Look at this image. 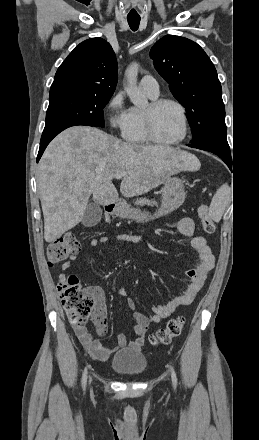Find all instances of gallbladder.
<instances>
[{
	"label": "gallbladder",
	"mask_w": 259,
	"mask_h": 440,
	"mask_svg": "<svg viewBox=\"0 0 259 440\" xmlns=\"http://www.w3.org/2000/svg\"><path fill=\"white\" fill-rule=\"evenodd\" d=\"M103 211L99 205L96 203H90L87 205L85 213L82 218V224L85 227H93L96 226L101 218Z\"/></svg>",
	"instance_id": "obj_1"
}]
</instances>
